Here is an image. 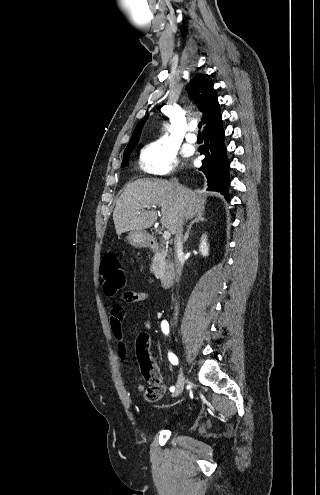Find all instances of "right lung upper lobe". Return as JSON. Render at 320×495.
Segmentation results:
<instances>
[{
    "mask_svg": "<svg viewBox=\"0 0 320 495\" xmlns=\"http://www.w3.org/2000/svg\"><path fill=\"white\" fill-rule=\"evenodd\" d=\"M187 90L189 96L194 99L198 109L203 113L202 122L205 125L204 130L214 126L222 120L217 93L213 88V82L208 75L196 74L193 79L190 80ZM148 117L149 115H146L137 124L125 150L134 148L137 145L143 125Z\"/></svg>",
    "mask_w": 320,
    "mask_h": 495,
    "instance_id": "right-lung-upper-lobe-1",
    "label": "right lung upper lobe"
}]
</instances>
